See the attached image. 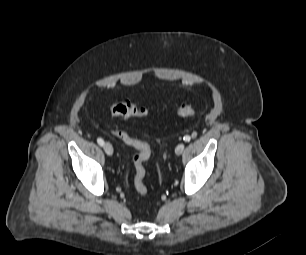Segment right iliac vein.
I'll return each mask as SVG.
<instances>
[{
    "label": "right iliac vein",
    "mask_w": 306,
    "mask_h": 255,
    "mask_svg": "<svg viewBox=\"0 0 306 255\" xmlns=\"http://www.w3.org/2000/svg\"><path fill=\"white\" fill-rule=\"evenodd\" d=\"M104 151L107 155L111 156L113 154V147L110 143L106 142L103 145Z\"/></svg>",
    "instance_id": "1"
}]
</instances>
